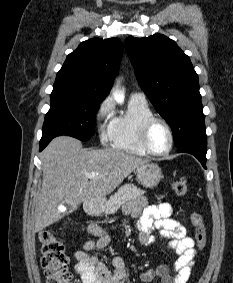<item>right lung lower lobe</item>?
I'll list each match as a JSON object with an SVG mask.
<instances>
[{
    "instance_id": "right-lung-lower-lobe-1",
    "label": "right lung lower lobe",
    "mask_w": 233,
    "mask_h": 283,
    "mask_svg": "<svg viewBox=\"0 0 233 283\" xmlns=\"http://www.w3.org/2000/svg\"><path fill=\"white\" fill-rule=\"evenodd\" d=\"M50 141H40V151L43 150Z\"/></svg>"
}]
</instances>
